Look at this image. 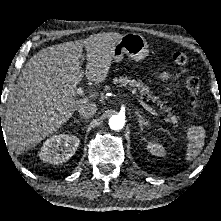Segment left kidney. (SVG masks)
<instances>
[{
    "mask_svg": "<svg viewBox=\"0 0 221 221\" xmlns=\"http://www.w3.org/2000/svg\"><path fill=\"white\" fill-rule=\"evenodd\" d=\"M147 150L155 156H164L166 152L165 148L156 142H148Z\"/></svg>",
    "mask_w": 221,
    "mask_h": 221,
    "instance_id": "obj_1",
    "label": "left kidney"
}]
</instances>
